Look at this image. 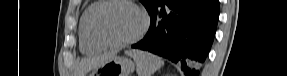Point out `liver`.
Here are the masks:
<instances>
[{"mask_svg": "<svg viewBox=\"0 0 287 76\" xmlns=\"http://www.w3.org/2000/svg\"><path fill=\"white\" fill-rule=\"evenodd\" d=\"M114 55H103L100 57L85 58L80 61L76 68V76H84L86 73L101 65L106 59Z\"/></svg>", "mask_w": 287, "mask_h": 76, "instance_id": "obj_1", "label": "liver"}]
</instances>
